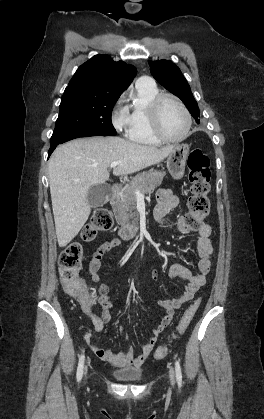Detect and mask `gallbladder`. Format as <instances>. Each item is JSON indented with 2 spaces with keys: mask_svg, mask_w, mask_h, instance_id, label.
I'll list each match as a JSON object with an SVG mask.
<instances>
[{
  "mask_svg": "<svg viewBox=\"0 0 264 419\" xmlns=\"http://www.w3.org/2000/svg\"><path fill=\"white\" fill-rule=\"evenodd\" d=\"M110 192L111 188L107 184L91 186L87 194V201L92 207L102 206L107 202Z\"/></svg>",
  "mask_w": 264,
  "mask_h": 419,
  "instance_id": "1",
  "label": "gallbladder"
}]
</instances>
